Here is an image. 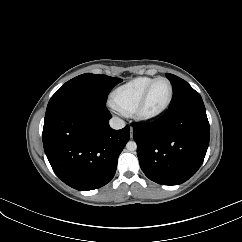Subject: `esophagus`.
<instances>
[{"instance_id": "obj_1", "label": "esophagus", "mask_w": 242, "mask_h": 242, "mask_svg": "<svg viewBox=\"0 0 242 242\" xmlns=\"http://www.w3.org/2000/svg\"><path fill=\"white\" fill-rule=\"evenodd\" d=\"M130 137L131 138L133 137V130L132 129L130 130Z\"/></svg>"}]
</instances>
